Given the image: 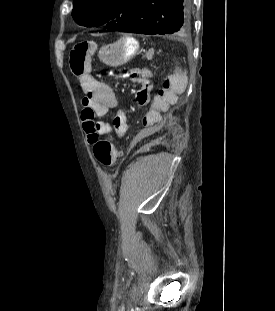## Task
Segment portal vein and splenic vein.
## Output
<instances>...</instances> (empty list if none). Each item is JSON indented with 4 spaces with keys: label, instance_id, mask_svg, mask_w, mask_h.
<instances>
[{
    "label": "portal vein and splenic vein",
    "instance_id": "obj_1",
    "mask_svg": "<svg viewBox=\"0 0 275 311\" xmlns=\"http://www.w3.org/2000/svg\"><path fill=\"white\" fill-rule=\"evenodd\" d=\"M153 54H154L153 50H150L149 52H147L146 56H147L148 59H151Z\"/></svg>",
    "mask_w": 275,
    "mask_h": 311
}]
</instances>
